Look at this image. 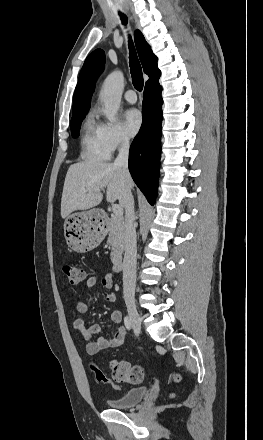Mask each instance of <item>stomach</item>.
<instances>
[{
    "label": "stomach",
    "instance_id": "0dacf381",
    "mask_svg": "<svg viewBox=\"0 0 263 440\" xmlns=\"http://www.w3.org/2000/svg\"><path fill=\"white\" fill-rule=\"evenodd\" d=\"M99 212H87L69 215L64 223V235L68 246L78 252L85 253L96 248L104 239L106 229L100 223Z\"/></svg>",
    "mask_w": 263,
    "mask_h": 440
}]
</instances>
